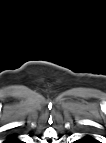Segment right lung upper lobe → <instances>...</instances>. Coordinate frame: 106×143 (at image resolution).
<instances>
[{"mask_svg": "<svg viewBox=\"0 0 106 143\" xmlns=\"http://www.w3.org/2000/svg\"><path fill=\"white\" fill-rule=\"evenodd\" d=\"M17 141L18 140H17L16 136L14 135V136L8 137V139L6 140V143H15Z\"/></svg>", "mask_w": 106, "mask_h": 143, "instance_id": "right-lung-upper-lobe-1", "label": "right lung upper lobe"}]
</instances>
